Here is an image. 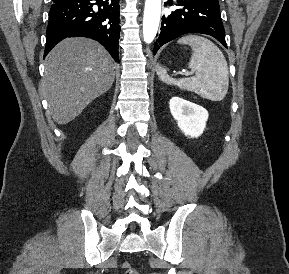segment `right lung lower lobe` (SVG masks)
Returning a JSON list of instances; mask_svg holds the SVG:
<instances>
[{
  "label": "right lung lower lobe",
  "mask_w": 289,
  "mask_h": 274,
  "mask_svg": "<svg viewBox=\"0 0 289 274\" xmlns=\"http://www.w3.org/2000/svg\"><path fill=\"white\" fill-rule=\"evenodd\" d=\"M119 10V0H53L44 56L62 39L83 36L101 43L117 62Z\"/></svg>",
  "instance_id": "98d812e1"
}]
</instances>
